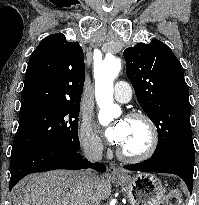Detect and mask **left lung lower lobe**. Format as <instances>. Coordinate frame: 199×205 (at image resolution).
I'll return each instance as SVG.
<instances>
[{
  "mask_svg": "<svg viewBox=\"0 0 199 205\" xmlns=\"http://www.w3.org/2000/svg\"><path fill=\"white\" fill-rule=\"evenodd\" d=\"M195 163V150L176 149L159 157L123 166L131 171L172 173L181 177L186 183L190 193L193 188V173Z\"/></svg>",
  "mask_w": 199,
  "mask_h": 205,
  "instance_id": "0a47b994",
  "label": "left lung lower lobe"
}]
</instances>
